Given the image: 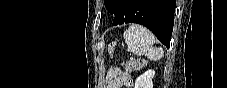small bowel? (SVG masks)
<instances>
[{
  "mask_svg": "<svg viewBox=\"0 0 227 88\" xmlns=\"http://www.w3.org/2000/svg\"><path fill=\"white\" fill-rule=\"evenodd\" d=\"M115 75L117 77H115ZM131 77L129 74L115 71L108 79V88H120L130 82Z\"/></svg>",
  "mask_w": 227,
  "mask_h": 88,
  "instance_id": "small-bowel-1",
  "label": "small bowel"
}]
</instances>
